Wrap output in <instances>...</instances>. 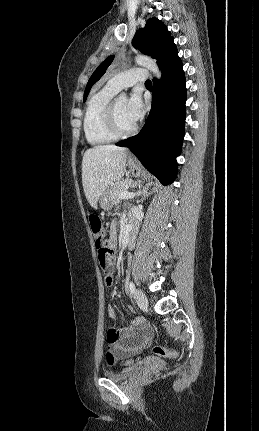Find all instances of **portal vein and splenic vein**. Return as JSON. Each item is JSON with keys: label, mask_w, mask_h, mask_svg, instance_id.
Instances as JSON below:
<instances>
[{"label": "portal vein and splenic vein", "mask_w": 259, "mask_h": 431, "mask_svg": "<svg viewBox=\"0 0 259 431\" xmlns=\"http://www.w3.org/2000/svg\"><path fill=\"white\" fill-rule=\"evenodd\" d=\"M119 196L124 199V198H133L135 196V193L133 192H128V191H121L119 193Z\"/></svg>", "instance_id": "18ae733b"}]
</instances>
